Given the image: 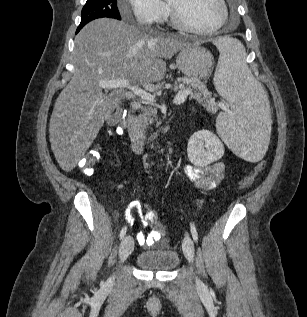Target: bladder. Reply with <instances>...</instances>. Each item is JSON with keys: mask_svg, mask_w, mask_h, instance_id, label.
I'll list each match as a JSON object with an SVG mask.
<instances>
[{"mask_svg": "<svg viewBox=\"0 0 307 317\" xmlns=\"http://www.w3.org/2000/svg\"><path fill=\"white\" fill-rule=\"evenodd\" d=\"M135 262L142 270L167 272L174 270L180 259L174 250H150L138 254Z\"/></svg>", "mask_w": 307, "mask_h": 317, "instance_id": "bladder-1", "label": "bladder"}]
</instances>
